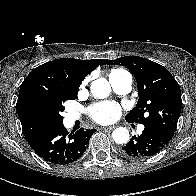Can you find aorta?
Listing matches in <instances>:
<instances>
[{"mask_svg":"<svg viewBox=\"0 0 196 196\" xmlns=\"http://www.w3.org/2000/svg\"><path fill=\"white\" fill-rule=\"evenodd\" d=\"M93 96L104 99L109 96L111 87L105 78L94 80L90 86ZM113 140L117 144H125L129 141V131L126 128H116L112 133Z\"/></svg>","mask_w":196,"mask_h":196,"instance_id":"obj_1","label":"aorta"}]
</instances>
